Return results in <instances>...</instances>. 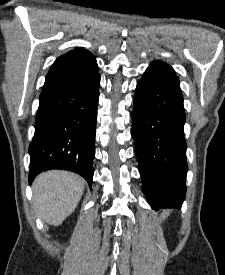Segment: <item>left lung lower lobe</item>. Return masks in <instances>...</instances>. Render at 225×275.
<instances>
[{
	"mask_svg": "<svg viewBox=\"0 0 225 275\" xmlns=\"http://www.w3.org/2000/svg\"><path fill=\"white\" fill-rule=\"evenodd\" d=\"M132 137L142 188L153 208H181L185 199V112L178 82L147 69L136 87Z\"/></svg>",
	"mask_w": 225,
	"mask_h": 275,
	"instance_id": "0a47b994",
	"label": "left lung lower lobe"
}]
</instances>
